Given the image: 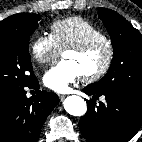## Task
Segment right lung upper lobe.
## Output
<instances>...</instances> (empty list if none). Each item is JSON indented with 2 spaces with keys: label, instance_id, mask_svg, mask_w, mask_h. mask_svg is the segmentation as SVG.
<instances>
[{
  "label": "right lung upper lobe",
  "instance_id": "right-lung-upper-lobe-1",
  "mask_svg": "<svg viewBox=\"0 0 142 142\" xmlns=\"http://www.w3.org/2000/svg\"><path fill=\"white\" fill-rule=\"evenodd\" d=\"M8 18H10V17H8ZM8 18H7V19H8ZM1 99H3V98H2V97H0V100H1Z\"/></svg>",
  "mask_w": 142,
  "mask_h": 142
}]
</instances>
